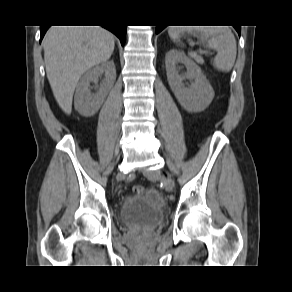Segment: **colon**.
Listing matches in <instances>:
<instances>
[{"label":"colon","instance_id":"1","mask_svg":"<svg viewBox=\"0 0 292 292\" xmlns=\"http://www.w3.org/2000/svg\"><path fill=\"white\" fill-rule=\"evenodd\" d=\"M144 191V187L141 185H135L133 186V192L134 193H142Z\"/></svg>","mask_w":292,"mask_h":292}]
</instances>
